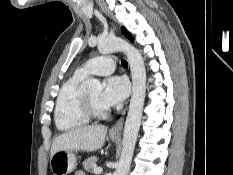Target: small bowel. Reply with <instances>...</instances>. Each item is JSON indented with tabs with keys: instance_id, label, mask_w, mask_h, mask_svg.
<instances>
[{
	"instance_id": "obj_1",
	"label": "small bowel",
	"mask_w": 233,
	"mask_h": 175,
	"mask_svg": "<svg viewBox=\"0 0 233 175\" xmlns=\"http://www.w3.org/2000/svg\"><path fill=\"white\" fill-rule=\"evenodd\" d=\"M75 175H85V174L83 172H81V171H78V172L75 173Z\"/></svg>"
}]
</instances>
